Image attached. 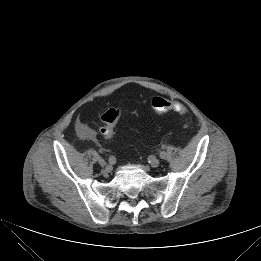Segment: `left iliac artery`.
Returning a JSON list of instances; mask_svg holds the SVG:
<instances>
[{"label": "left iliac artery", "mask_w": 261, "mask_h": 261, "mask_svg": "<svg viewBox=\"0 0 261 261\" xmlns=\"http://www.w3.org/2000/svg\"><path fill=\"white\" fill-rule=\"evenodd\" d=\"M159 157L161 158V159H163V160H165L166 158H167V153H166V151H160V153H159Z\"/></svg>", "instance_id": "left-iliac-artery-1"}]
</instances>
